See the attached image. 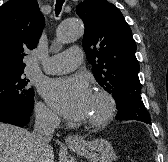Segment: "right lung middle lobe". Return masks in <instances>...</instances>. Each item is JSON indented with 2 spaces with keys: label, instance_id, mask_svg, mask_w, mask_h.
I'll return each mask as SVG.
<instances>
[{
  "label": "right lung middle lobe",
  "instance_id": "dd1d6c3e",
  "mask_svg": "<svg viewBox=\"0 0 168 162\" xmlns=\"http://www.w3.org/2000/svg\"><path fill=\"white\" fill-rule=\"evenodd\" d=\"M23 73L0 75V103L33 108L34 90L28 87Z\"/></svg>",
  "mask_w": 168,
  "mask_h": 162
}]
</instances>
